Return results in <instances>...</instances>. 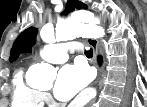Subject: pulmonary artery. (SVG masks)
<instances>
[{"label":"pulmonary artery","instance_id":"e3ab8cb5","mask_svg":"<svg viewBox=\"0 0 147 107\" xmlns=\"http://www.w3.org/2000/svg\"><path fill=\"white\" fill-rule=\"evenodd\" d=\"M75 49L74 43L48 44L41 48L39 58L51 63H63Z\"/></svg>","mask_w":147,"mask_h":107}]
</instances>
